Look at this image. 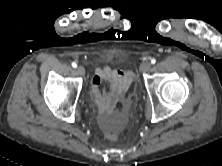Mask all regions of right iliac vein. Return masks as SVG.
Instances as JSON below:
<instances>
[{"instance_id": "right-iliac-vein-1", "label": "right iliac vein", "mask_w": 222, "mask_h": 166, "mask_svg": "<svg viewBox=\"0 0 222 166\" xmlns=\"http://www.w3.org/2000/svg\"><path fill=\"white\" fill-rule=\"evenodd\" d=\"M76 72H77L79 75L83 76V75L85 74V69H84V67H82V66H78V67L76 68Z\"/></svg>"}]
</instances>
